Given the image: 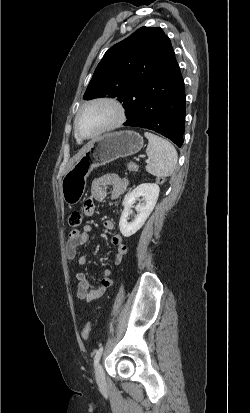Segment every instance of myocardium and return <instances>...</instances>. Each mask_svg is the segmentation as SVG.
Segmentation results:
<instances>
[{
    "label": "myocardium",
    "instance_id": "1",
    "mask_svg": "<svg viewBox=\"0 0 250 413\" xmlns=\"http://www.w3.org/2000/svg\"><path fill=\"white\" fill-rule=\"evenodd\" d=\"M96 104H107V105L113 107L115 112H116V117L111 123H109L108 125H106L102 129H100L98 132H96L92 135L84 136L80 133L79 128H78L79 117L87 107H90V106L96 105ZM126 119H127L126 109H125L124 105L117 98L112 97V96L95 97V98H92V99L86 101L79 108V110L77 111L75 119H74L75 134L80 140L95 139V138H98V137H100L104 134H107L109 132H112V131L120 128L125 123Z\"/></svg>",
    "mask_w": 250,
    "mask_h": 413
}]
</instances>
